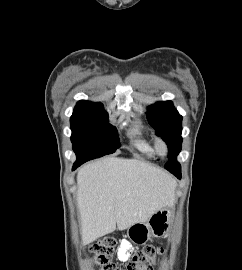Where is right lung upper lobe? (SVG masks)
<instances>
[{
	"mask_svg": "<svg viewBox=\"0 0 242 270\" xmlns=\"http://www.w3.org/2000/svg\"><path fill=\"white\" fill-rule=\"evenodd\" d=\"M99 111H104L101 103L81 100L75 106L73 114H91Z\"/></svg>",
	"mask_w": 242,
	"mask_h": 270,
	"instance_id": "1",
	"label": "right lung upper lobe"
}]
</instances>
